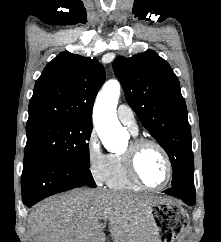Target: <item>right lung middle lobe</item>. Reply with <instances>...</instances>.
Wrapping results in <instances>:
<instances>
[{"label":"right lung middle lobe","mask_w":221,"mask_h":242,"mask_svg":"<svg viewBox=\"0 0 221 242\" xmlns=\"http://www.w3.org/2000/svg\"><path fill=\"white\" fill-rule=\"evenodd\" d=\"M91 122L51 121L27 126L24 158L50 156L90 167Z\"/></svg>","instance_id":"obj_1"}]
</instances>
